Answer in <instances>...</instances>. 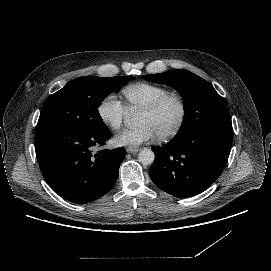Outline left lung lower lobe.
Returning <instances> with one entry per match:
<instances>
[{
  "label": "left lung lower lobe",
  "instance_id": "1",
  "mask_svg": "<svg viewBox=\"0 0 271 271\" xmlns=\"http://www.w3.org/2000/svg\"><path fill=\"white\" fill-rule=\"evenodd\" d=\"M233 140L232 124H205L153 147L149 175L161 190L191 197L209 188L224 170Z\"/></svg>",
  "mask_w": 271,
  "mask_h": 271
}]
</instances>
